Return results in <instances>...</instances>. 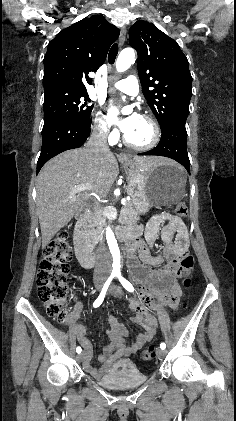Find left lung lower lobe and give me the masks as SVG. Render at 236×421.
<instances>
[{"label": "left lung lower lobe", "instance_id": "0a47b994", "mask_svg": "<svg viewBox=\"0 0 236 421\" xmlns=\"http://www.w3.org/2000/svg\"><path fill=\"white\" fill-rule=\"evenodd\" d=\"M185 123V117L173 118L166 127L161 129L162 136L157 147L138 155H157L172 158L182 164L190 174Z\"/></svg>", "mask_w": 236, "mask_h": 421}]
</instances>
